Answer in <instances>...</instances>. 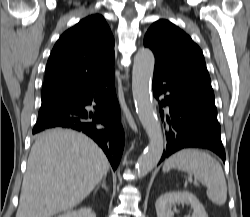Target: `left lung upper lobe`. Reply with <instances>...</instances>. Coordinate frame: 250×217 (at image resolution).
Listing matches in <instances>:
<instances>
[{
  "label": "left lung upper lobe",
  "mask_w": 250,
  "mask_h": 217,
  "mask_svg": "<svg viewBox=\"0 0 250 217\" xmlns=\"http://www.w3.org/2000/svg\"><path fill=\"white\" fill-rule=\"evenodd\" d=\"M144 45L155 55V68L169 74L210 79L201 49L181 29L160 19L152 24Z\"/></svg>",
  "instance_id": "left-lung-upper-lobe-1"
}]
</instances>
